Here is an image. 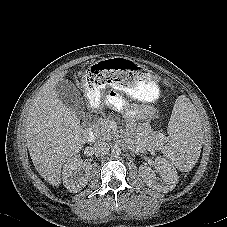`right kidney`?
Returning <instances> with one entry per match:
<instances>
[{
	"mask_svg": "<svg viewBox=\"0 0 227 227\" xmlns=\"http://www.w3.org/2000/svg\"><path fill=\"white\" fill-rule=\"evenodd\" d=\"M91 166L86 161L74 155L63 166L62 179L69 192L77 193L88 183Z\"/></svg>",
	"mask_w": 227,
	"mask_h": 227,
	"instance_id": "1",
	"label": "right kidney"
}]
</instances>
